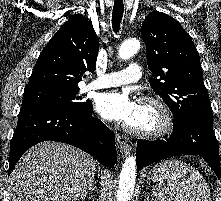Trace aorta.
<instances>
[{"label":"aorta","instance_id":"762f6f07","mask_svg":"<svg viewBox=\"0 0 221 201\" xmlns=\"http://www.w3.org/2000/svg\"><path fill=\"white\" fill-rule=\"evenodd\" d=\"M140 48L137 39L132 38L124 41L119 48V57L129 59L134 56ZM136 179V159L135 156L126 158L120 173L119 187L116 201H130L134 191Z\"/></svg>","mask_w":221,"mask_h":201}]
</instances>
